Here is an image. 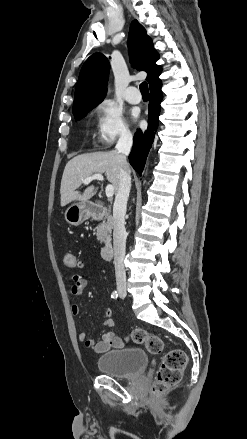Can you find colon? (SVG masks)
<instances>
[{
    "label": "colon",
    "instance_id": "5ec220e1",
    "mask_svg": "<svg viewBox=\"0 0 247 439\" xmlns=\"http://www.w3.org/2000/svg\"><path fill=\"white\" fill-rule=\"evenodd\" d=\"M63 261L65 266L69 268L79 266L77 258L71 253L65 254ZM132 338L134 342L143 344L151 354H160L163 350L162 339L143 329H136L132 334ZM186 365L187 356L183 350L171 349L168 351L162 359L152 391L159 394L176 385L181 380Z\"/></svg>",
    "mask_w": 247,
    "mask_h": 439
}]
</instances>
